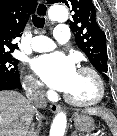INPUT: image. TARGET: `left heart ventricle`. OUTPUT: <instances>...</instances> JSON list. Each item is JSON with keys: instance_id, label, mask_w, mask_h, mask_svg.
I'll return each instance as SVG.
<instances>
[{"instance_id": "b2bd125f", "label": "left heart ventricle", "mask_w": 117, "mask_h": 136, "mask_svg": "<svg viewBox=\"0 0 117 136\" xmlns=\"http://www.w3.org/2000/svg\"><path fill=\"white\" fill-rule=\"evenodd\" d=\"M97 92L95 79L89 73L77 72L66 93L75 100L88 101L93 99Z\"/></svg>"}]
</instances>
